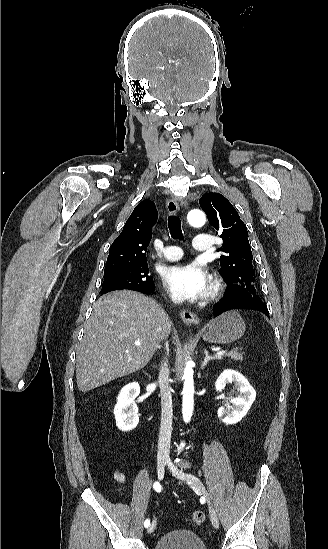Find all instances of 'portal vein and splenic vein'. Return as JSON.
<instances>
[{"label": "portal vein and splenic vein", "instance_id": "portal-vein-and-splenic-vein-1", "mask_svg": "<svg viewBox=\"0 0 328 549\" xmlns=\"http://www.w3.org/2000/svg\"><path fill=\"white\" fill-rule=\"evenodd\" d=\"M134 345H136V347H139L141 343L140 341H135ZM223 353H226V350H218V353H216V357H219V355H223Z\"/></svg>", "mask_w": 328, "mask_h": 549}]
</instances>
